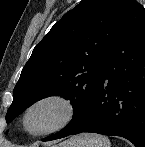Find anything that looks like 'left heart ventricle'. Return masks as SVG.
<instances>
[{"instance_id":"1","label":"left heart ventricle","mask_w":145,"mask_h":147,"mask_svg":"<svg viewBox=\"0 0 145 147\" xmlns=\"http://www.w3.org/2000/svg\"><path fill=\"white\" fill-rule=\"evenodd\" d=\"M63 116V110L56 104L42 106L29 117V127L38 130L55 125Z\"/></svg>"}]
</instances>
